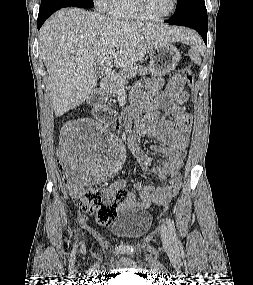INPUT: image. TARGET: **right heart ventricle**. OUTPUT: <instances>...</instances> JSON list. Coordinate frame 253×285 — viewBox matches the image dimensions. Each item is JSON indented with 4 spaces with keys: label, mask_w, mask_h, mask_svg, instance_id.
Segmentation results:
<instances>
[{
    "label": "right heart ventricle",
    "mask_w": 253,
    "mask_h": 285,
    "mask_svg": "<svg viewBox=\"0 0 253 285\" xmlns=\"http://www.w3.org/2000/svg\"><path fill=\"white\" fill-rule=\"evenodd\" d=\"M106 11L112 18L118 20L140 19L133 0H109Z\"/></svg>",
    "instance_id": "e07e8e85"
}]
</instances>
